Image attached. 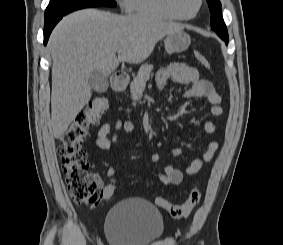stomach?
Wrapping results in <instances>:
<instances>
[{"label":"stomach","mask_w":283,"mask_h":245,"mask_svg":"<svg viewBox=\"0 0 283 245\" xmlns=\"http://www.w3.org/2000/svg\"><path fill=\"white\" fill-rule=\"evenodd\" d=\"M190 43L189 34L182 30L168 34L164 40L165 50L168 54L186 51Z\"/></svg>","instance_id":"1"}]
</instances>
